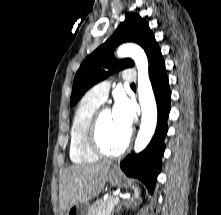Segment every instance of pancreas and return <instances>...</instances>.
Returning <instances> with one entry per match:
<instances>
[{
	"label": "pancreas",
	"instance_id": "obj_1",
	"mask_svg": "<svg viewBox=\"0 0 221 215\" xmlns=\"http://www.w3.org/2000/svg\"><path fill=\"white\" fill-rule=\"evenodd\" d=\"M115 198L109 196L107 199L96 200L89 208L88 215H112Z\"/></svg>",
	"mask_w": 221,
	"mask_h": 215
}]
</instances>
